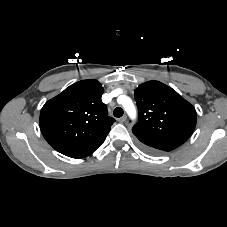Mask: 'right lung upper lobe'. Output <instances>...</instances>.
<instances>
[{
	"instance_id": "1",
	"label": "right lung upper lobe",
	"mask_w": 227,
	"mask_h": 227,
	"mask_svg": "<svg viewBox=\"0 0 227 227\" xmlns=\"http://www.w3.org/2000/svg\"><path fill=\"white\" fill-rule=\"evenodd\" d=\"M103 87L97 80H82L47 101L40 113V129L58 152L83 158L99 148L115 119L101 101Z\"/></svg>"
}]
</instances>
